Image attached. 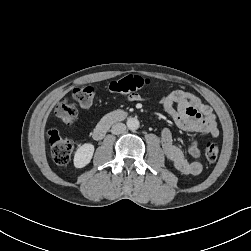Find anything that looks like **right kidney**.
Masks as SVG:
<instances>
[{
  "label": "right kidney",
  "instance_id": "right-kidney-1",
  "mask_svg": "<svg viewBox=\"0 0 251 251\" xmlns=\"http://www.w3.org/2000/svg\"><path fill=\"white\" fill-rule=\"evenodd\" d=\"M94 145L85 143L80 146L74 155V166L76 168H83L88 165L93 157Z\"/></svg>",
  "mask_w": 251,
  "mask_h": 251
}]
</instances>
